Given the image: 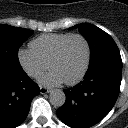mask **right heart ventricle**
Returning a JSON list of instances; mask_svg holds the SVG:
<instances>
[{
    "label": "right heart ventricle",
    "instance_id": "1",
    "mask_svg": "<svg viewBox=\"0 0 128 128\" xmlns=\"http://www.w3.org/2000/svg\"><path fill=\"white\" fill-rule=\"evenodd\" d=\"M70 33H50L35 38L31 43V49L48 64L55 54L59 45L65 40Z\"/></svg>",
    "mask_w": 128,
    "mask_h": 128
}]
</instances>
